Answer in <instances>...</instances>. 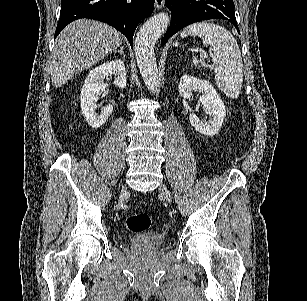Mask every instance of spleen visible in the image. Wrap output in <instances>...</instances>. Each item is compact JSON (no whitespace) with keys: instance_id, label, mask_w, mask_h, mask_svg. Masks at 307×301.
I'll use <instances>...</instances> for the list:
<instances>
[{"instance_id":"spleen-1","label":"spleen","mask_w":307,"mask_h":301,"mask_svg":"<svg viewBox=\"0 0 307 301\" xmlns=\"http://www.w3.org/2000/svg\"><path fill=\"white\" fill-rule=\"evenodd\" d=\"M185 36H200L204 46L210 44L209 52L213 64L209 66L214 70L218 88L226 96L238 98L242 90L243 62L233 34L214 22H194L182 30L181 38ZM192 62L194 66H205L203 60L197 56H193Z\"/></svg>"}]
</instances>
